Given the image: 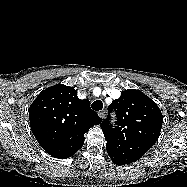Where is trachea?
<instances>
[{"label":"trachea","mask_w":187,"mask_h":187,"mask_svg":"<svg viewBox=\"0 0 187 187\" xmlns=\"http://www.w3.org/2000/svg\"><path fill=\"white\" fill-rule=\"evenodd\" d=\"M92 109L95 110V111H99V110H102L103 108V103L101 100H96L92 103L91 105Z\"/></svg>","instance_id":"3493384b"}]
</instances>
